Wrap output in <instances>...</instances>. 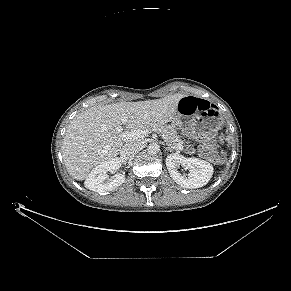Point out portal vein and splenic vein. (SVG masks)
<instances>
[{
	"label": "portal vein and splenic vein",
	"instance_id": "18ae733b",
	"mask_svg": "<svg viewBox=\"0 0 291 291\" xmlns=\"http://www.w3.org/2000/svg\"><path fill=\"white\" fill-rule=\"evenodd\" d=\"M122 130H123L122 126L117 127V131L121 133V138L123 141H136L139 139H143L148 133V130L144 129H137L126 132H122ZM178 149L183 150V146L178 145Z\"/></svg>",
	"mask_w": 291,
	"mask_h": 291
}]
</instances>
